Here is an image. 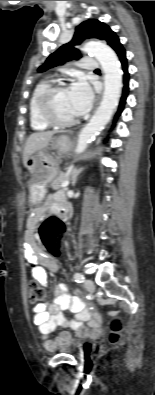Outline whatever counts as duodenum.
<instances>
[{
	"label": "duodenum",
	"mask_w": 155,
	"mask_h": 395,
	"mask_svg": "<svg viewBox=\"0 0 155 395\" xmlns=\"http://www.w3.org/2000/svg\"><path fill=\"white\" fill-rule=\"evenodd\" d=\"M58 215H60L63 219H65L66 218V210L62 209Z\"/></svg>",
	"instance_id": "410a0bca"
}]
</instances>
